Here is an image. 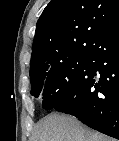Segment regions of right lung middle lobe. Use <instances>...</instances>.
I'll return each mask as SVG.
<instances>
[{
  "label": "right lung middle lobe",
  "mask_w": 119,
  "mask_h": 141,
  "mask_svg": "<svg viewBox=\"0 0 119 141\" xmlns=\"http://www.w3.org/2000/svg\"><path fill=\"white\" fill-rule=\"evenodd\" d=\"M89 66L88 57H79L64 65L30 74L31 94L42 97L46 109L62 104L70 98Z\"/></svg>",
  "instance_id": "obj_1"
}]
</instances>
